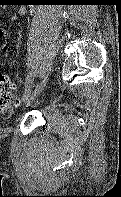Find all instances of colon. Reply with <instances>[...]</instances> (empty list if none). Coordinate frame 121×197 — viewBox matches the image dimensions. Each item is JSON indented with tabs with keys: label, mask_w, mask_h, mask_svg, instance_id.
Listing matches in <instances>:
<instances>
[{
	"label": "colon",
	"mask_w": 121,
	"mask_h": 197,
	"mask_svg": "<svg viewBox=\"0 0 121 197\" xmlns=\"http://www.w3.org/2000/svg\"><path fill=\"white\" fill-rule=\"evenodd\" d=\"M17 105L13 83L7 75L0 72V111H10Z\"/></svg>",
	"instance_id": "obj_1"
}]
</instances>
